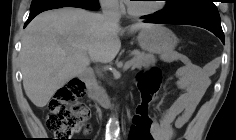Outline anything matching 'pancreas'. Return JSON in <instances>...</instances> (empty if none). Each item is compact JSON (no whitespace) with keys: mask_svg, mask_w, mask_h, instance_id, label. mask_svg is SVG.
I'll return each instance as SVG.
<instances>
[{"mask_svg":"<svg viewBox=\"0 0 236 140\" xmlns=\"http://www.w3.org/2000/svg\"><path fill=\"white\" fill-rule=\"evenodd\" d=\"M131 54L134 56L132 61V68H142L149 67L150 65H154L156 63V58L152 54H148L145 52H141L139 50H133Z\"/></svg>","mask_w":236,"mask_h":140,"instance_id":"1","label":"pancreas"}]
</instances>
